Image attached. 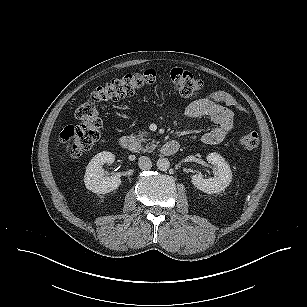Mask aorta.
Here are the masks:
<instances>
[{
    "instance_id": "obj_1",
    "label": "aorta",
    "mask_w": 307,
    "mask_h": 307,
    "mask_svg": "<svg viewBox=\"0 0 307 307\" xmlns=\"http://www.w3.org/2000/svg\"><path fill=\"white\" fill-rule=\"evenodd\" d=\"M156 166L160 171H167L170 167V162L167 158H159Z\"/></svg>"
}]
</instances>
